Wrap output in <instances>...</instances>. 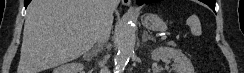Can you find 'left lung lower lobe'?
<instances>
[{
    "label": "left lung lower lobe",
    "instance_id": "1",
    "mask_svg": "<svg viewBox=\"0 0 244 73\" xmlns=\"http://www.w3.org/2000/svg\"><path fill=\"white\" fill-rule=\"evenodd\" d=\"M159 0H137L138 4H142V3H145V4H149V3H153V2H158ZM203 3L209 5L211 7V9L213 11H215V0H201Z\"/></svg>",
    "mask_w": 244,
    "mask_h": 73
}]
</instances>
